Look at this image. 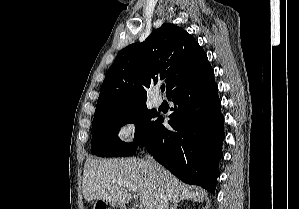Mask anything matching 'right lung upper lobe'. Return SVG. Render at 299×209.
Listing matches in <instances>:
<instances>
[{
  "label": "right lung upper lobe",
  "mask_w": 299,
  "mask_h": 209,
  "mask_svg": "<svg viewBox=\"0 0 299 209\" xmlns=\"http://www.w3.org/2000/svg\"><path fill=\"white\" fill-rule=\"evenodd\" d=\"M213 73L204 50L184 29L164 23L143 43L121 50L103 81L95 115L146 104L147 91L164 80L166 94L190 77Z\"/></svg>",
  "instance_id": "1"
}]
</instances>
